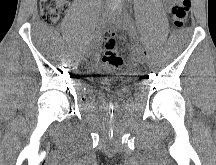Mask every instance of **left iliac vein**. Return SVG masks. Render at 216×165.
I'll return each mask as SVG.
<instances>
[{"mask_svg":"<svg viewBox=\"0 0 216 165\" xmlns=\"http://www.w3.org/2000/svg\"><path fill=\"white\" fill-rule=\"evenodd\" d=\"M109 20L117 24L118 26H120L125 31H127L128 34L135 40L136 38L135 30L131 26V23L128 20L125 13L123 12L112 13L109 15ZM135 57L140 64H144L146 61V55L144 53V50L139 44H136Z\"/></svg>","mask_w":216,"mask_h":165,"instance_id":"obj_1","label":"left iliac vein"}]
</instances>
